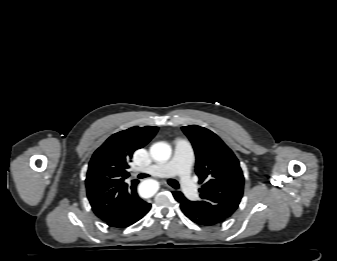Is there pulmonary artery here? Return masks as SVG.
Returning <instances> with one entry per match:
<instances>
[{
    "instance_id": "1",
    "label": "pulmonary artery",
    "mask_w": 337,
    "mask_h": 261,
    "mask_svg": "<svg viewBox=\"0 0 337 261\" xmlns=\"http://www.w3.org/2000/svg\"><path fill=\"white\" fill-rule=\"evenodd\" d=\"M193 156L192 145L186 140H177L172 159L165 164L152 165L146 172L156 177L177 175L184 194L190 199H195L198 192L190 177Z\"/></svg>"
}]
</instances>
